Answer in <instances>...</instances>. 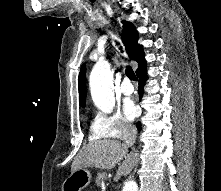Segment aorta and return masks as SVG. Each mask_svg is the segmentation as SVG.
Here are the masks:
<instances>
[{
  "instance_id": "762f6f07",
  "label": "aorta",
  "mask_w": 221,
  "mask_h": 191,
  "mask_svg": "<svg viewBox=\"0 0 221 191\" xmlns=\"http://www.w3.org/2000/svg\"><path fill=\"white\" fill-rule=\"evenodd\" d=\"M90 91L95 105L105 113L112 112L115 106L110 65L105 60H99L93 67L89 79ZM122 191H138L135 181L125 183Z\"/></svg>"
}]
</instances>
